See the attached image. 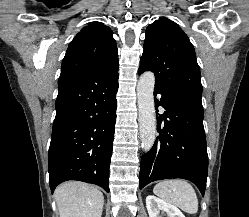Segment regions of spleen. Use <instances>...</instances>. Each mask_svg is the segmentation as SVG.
<instances>
[{"label":"spleen","instance_id":"obj_1","mask_svg":"<svg viewBox=\"0 0 249 217\" xmlns=\"http://www.w3.org/2000/svg\"><path fill=\"white\" fill-rule=\"evenodd\" d=\"M153 192L165 201L175 204L189 214L198 211V198L194 188L185 180H164L156 184Z\"/></svg>","mask_w":249,"mask_h":217}]
</instances>
